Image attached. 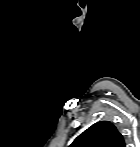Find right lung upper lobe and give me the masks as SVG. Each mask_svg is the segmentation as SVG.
<instances>
[{
  "label": "right lung upper lobe",
  "instance_id": "1",
  "mask_svg": "<svg viewBox=\"0 0 140 147\" xmlns=\"http://www.w3.org/2000/svg\"><path fill=\"white\" fill-rule=\"evenodd\" d=\"M71 147H125V141L111 122L100 121L78 136Z\"/></svg>",
  "mask_w": 140,
  "mask_h": 147
}]
</instances>
